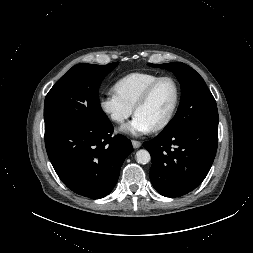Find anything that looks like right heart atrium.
I'll use <instances>...</instances> for the list:
<instances>
[{"label":"right heart atrium","mask_w":253,"mask_h":253,"mask_svg":"<svg viewBox=\"0 0 253 253\" xmlns=\"http://www.w3.org/2000/svg\"><path fill=\"white\" fill-rule=\"evenodd\" d=\"M101 111L114 123H124L132 114L133 108L127 105L115 91H108L99 97Z\"/></svg>","instance_id":"right-heart-atrium-1"}]
</instances>
